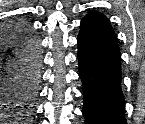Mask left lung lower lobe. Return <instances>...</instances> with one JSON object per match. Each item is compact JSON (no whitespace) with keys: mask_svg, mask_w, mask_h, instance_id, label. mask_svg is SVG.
Instances as JSON below:
<instances>
[{"mask_svg":"<svg viewBox=\"0 0 145 124\" xmlns=\"http://www.w3.org/2000/svg\"><path fill=\"white\" fill-rule=\"evenodd\" d=\"M77 40L85 124H126L121 54L109 20L90 12L81 21Z\"/></svg>","mask_w":145,"mask_h":124,"instance_id":"1","label":"left lung lower lobe"}]
</instances>
